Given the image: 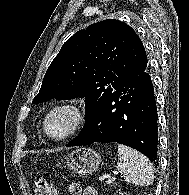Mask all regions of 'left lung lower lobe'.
<instances>
[{
    "label": "left lung lower lobe",
    "mask_w": 189,
    "mask_h": 195,
    "mask_svg": "<svg viewBox=\"0 0 189 195\" xmlns=\"http://www.w3.org/2000/svg\"><path fill=\"white\" fill-rule=\"evenodd\" d=\"M157 118L153 85L145 70L134 80L117 88L67 147L117 142L138 150L155 163Z\"/></svg>",
    "instance_id": "0a47b994"
}]
</instances>
